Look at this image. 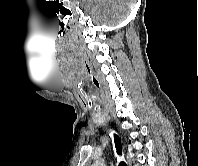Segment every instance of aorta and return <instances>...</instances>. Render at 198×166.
I'll use <instances>...</instances> for the list:
<instances>
[{"label": "aorta", "instance_id": "aorta-1", "mask_svg": "<svg viewBox=\"0 0 198 166\" xmlns=\"http://www.w3.org/2000/svg\"><path fill=\"white\" fill-rule=\"evenodd\" d=\"M92 166H106L105 161L103 159L96 160Z\"/></svg>", "mask_w": 198, "mask_h": 166}]
</instances>
